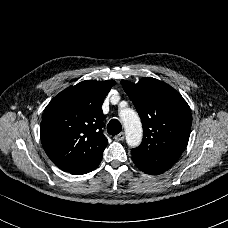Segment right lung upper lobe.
<instances>
[{
  "label": "right lung upper lobe",
  "instance_id": "1",
  "mask_svg": "<svg viewBox=\"0 0 228 228\" xmlns=\"http://www.w3.org/2000/svg\"><path fill=\"white\" fill-rule=\"evenodd\" d=\"M115 81L85 80L56 95L44 109L40 137L52 162L65 172L80 170L102 156V103Z\"/></svg>",
  "mask_w": 228,
  "mask_h": 228
}]
</instances>
